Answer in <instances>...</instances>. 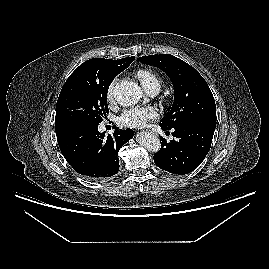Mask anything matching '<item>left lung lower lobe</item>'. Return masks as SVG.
<instances>
[{"label": "left lung lower lobe", "instance_id": "1", "mask_svg": "<svg viewBox=\"0 0 269 269\" xmlns=\"http://www.w3.org/2000/svg\"><path fill=\"white\" fill-rule=\"evenodd\" d=\"M215 128L213 122H196L174 128L173 140L167 142L161 138V149L154 155L155 164L170 173L184 175L192 172L209 152ZM162 130L170 129L162 127Z\"/></svg>", "mask_w": 269, "mask_h": 269}]
</instances>
